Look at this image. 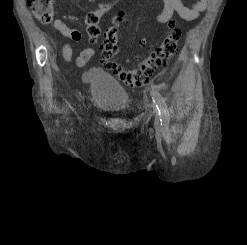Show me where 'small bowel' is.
Segmentation results:
<instances>
[{
  "label": "small bowel",
  "mask_w": 247,
  "mask_h": 245,
  "mask_svg": "<svg viewBox=\"0 0 247 245\" xmlns=\"http://www.w3.org/2000/svg\"><path fill=\"white\" fill-rule=\"evenodd\" d=\"M94 2L95 0H88ZM209 0H198L191 6H186L182 0H163V7L159 13L156 14L155 19L158 23H168L174 14L179 15L182 19L191 21L196 19L201 12L206 10ZM122 15H118L114 24L108 29L113 31L120 37V25L122 22ZM76 21L77 17L74 15H64L63 19L57 17L54 20L53 27L61 33L64 37H67L75 42L82 39V33L74 28H71L65 21ZM62 55L65 61L70 62L72 60L73 50L69 44H64L62 47ZM95 55V51L92 48H86L82 50L79 56L76 58V65L78 67H84Z\"/></svg>",
  "instance_id": "small-bowel-1"
}]
</instances>
